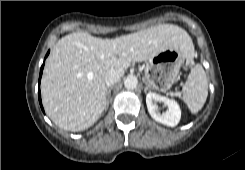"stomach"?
I'll use <instances>...</instances> for the list:
<instances>
[{
	"label": "stomach",
	"instance_id": "1",
	"mask_svg": "<svg viewBox=\"0 0 245 170\" xmlns=\"http://www.w3.org/2000/svg\"><path fill=\"white\" fill-rule=\"evenodd\" d=\"M189 59L178 49H167L148 59L145 66V81L154 90L167 91L180 78V70Z\"/></svg>",
	"mask_w": 245,
	"mask_h": 170
}]
</instances>
